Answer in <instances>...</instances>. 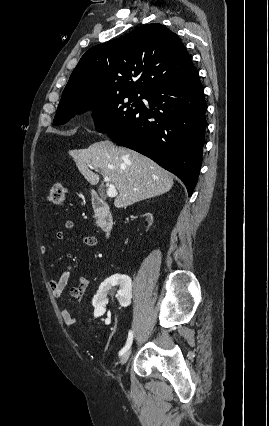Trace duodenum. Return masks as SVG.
<instances>
[{
  "instance_id": "1",
  "label": "duodenum",
  "mask_w": 269,
  "mask_h": 426,
  "mask_svg": "<svg viewBox=\"0 0 269 426\" xmlns=\"http://www.w3.org/2000/svg\"><path fill=\"white\" fill-rule=\"evenodd\" d=\"M90 200L99 228L106 236L111 235L114 230V219L104 196L94 192Z\"/></svg>"
}]
</instances>
